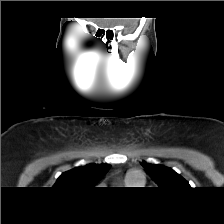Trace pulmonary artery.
I'll list each match as a JSON object with an SVG mask.
<instances>
[{"instance_id":"1","label":"pulmonary artery","mask_w":224,"mask_h":224,"mask_svg":"<svg viewBox=\"0 0 224 224\" xmlns=\"http://www.w3.org/2000/svg\"><path fill=\"white\" fill-rule=\"evenodd\" d=\"M129 179L131 181H134L136 183H142L143 182V176L141 173L135 172L133 175H130Z\"/></svg>"}]
</instances>
